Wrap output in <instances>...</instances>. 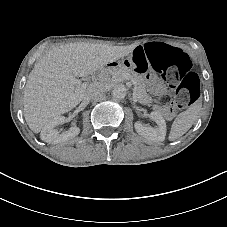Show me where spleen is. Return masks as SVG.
Returning <instances> with one entry per match:
<instances>
[{"label":"spleen","mask_w":227,"mask_h":227,"mask_svg":"<svg viewBox=\"0 0 227 227\" xmlns=\"http://www.w3.org/2000/svg\"><path fill=\"white\" fill-rule=\"evenodd\" d=\"M201 105L192 106L187 109L185 112L180 113L174 123L172 124V128L170 131L169 139L176 140L178 137L182 136L186 133L192 124L197 120L198 114L200 112Z\"/></svg>","instance_id":"3e777b00"}]
</instances>
